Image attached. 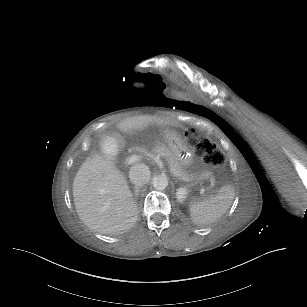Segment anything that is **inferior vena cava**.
I'll return each instance as SVG.
<instances>
[{
    "mask_svg": "<svg viewBox=\"0 0 307 307\" xmlns=\"http://www.w3.org/2000/svg\"><path fill=\"white\" fill-rule=\"evenodd\" d=\"M150 177V170L145 164H137L130 168L129 178L135 186L142 187L149 182Z\"/></svg>",
    "mask_w": 307,
    "mask_h": 307,
    "instance_id": "1",
    "label": "inferior vena cava"
}]
</instances>
